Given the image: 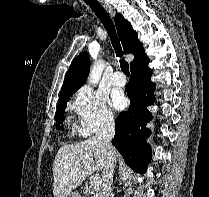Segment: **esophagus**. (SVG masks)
Segmentation results:
<instances>
[{"label": "esophagus", "instance_id": "esophagus-1", "mask_svg": "<svg viewBox=\"0 0 209 197\" xmlns=\"http://www.w3.org/2000/svg\"><path fill=\"white\" fill-rule=\"evenodd\" d=\"M100 2L109 11V13H111L113 15V8H112V6L109 3L105 2L104 0H100Z\"/></svg>", "mask_w": 209, "mask_h": 197}]
</instances>
